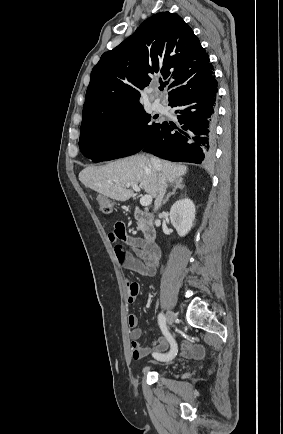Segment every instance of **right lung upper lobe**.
<instances>
[{
    "label": "right lung upper lobe",
    "instance_id": "right-lung-upper-lobe-1",
    "mask_svg": "<svg viewBox=\"0 0 283 434\" xmlns=\"http://www.w3.org/2000/svg\"><path fill=\"white\" fill-rule=\"evenodd\" d=\"M157 73L171 80L169 103L215 79L206 50L175 13L153 15L132 36L103 53L91 72L80 129L142 107L140 90Z\"/></svg>",
    "mask_w": 283,
    "mask_h": 434
}]
</instances>
